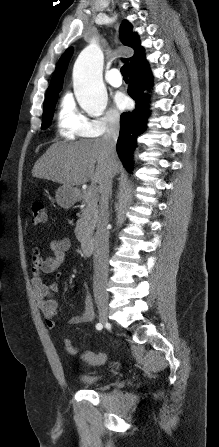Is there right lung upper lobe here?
<instances>
[{
	"label": "right lung upper lobe",
	"instance_id": "cb5924a9",
	"mask_svg": "<svg viewBox=\"0 0 219 447\" xmlns=\"http://www.w3.org/2000/svg\"><path fill=\"white\" fill-rule=\"evenodd\" d=\"M120 37L124 45L134 49L135 53L133 57L127 59L129 61L130 69L138 66L145 60L144 49L140 45L137 34L132 33V26L128 21H123L120 27ZM72 55V48L65 51V53L59 59L50 85L48 87L46 98L58 94L62 89L63 77ZM45 98V99H46Z\"/></svg>",
	"mask_w": 219,
	"mask_h": 447
}]
</instances>
